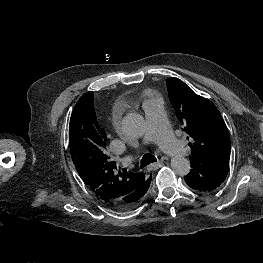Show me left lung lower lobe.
<instances>
[{"mask_svg":"<svg viewBox=\"0 0 263 263\" xmlns=\"http://www.w3.org/2000/svg\"><path fill=\"white\" fill-rule=\"evenodd\" d=\"M190 162L192 169L184 179L191 188L200 192H209L216 189L228 174L229 161L227 159L211 162L190 160Z\"/></svg>","mask_w":263,"mask_h":263,"instance_id":"obj_1","label":"left lung lower lobe"}]
</instances>
